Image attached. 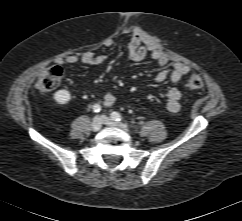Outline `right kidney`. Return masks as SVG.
<instances>
[{"instance_id": "1", "label": "right kidney", "mask_w": 242, "mask_h": 221, "mask_svg": "<svg viewBox=\"0 0 242 221\" xmlns=\"http://www.w3.org/2000/svg\"><path fill=\"white\" fill-rule=\"evenodd\" d=\"M54 99L58 104H67L71 99V94L68 90H58L54 93Z\"/></svg>"}]
</instances>
